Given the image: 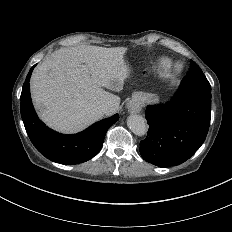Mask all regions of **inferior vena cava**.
Returning <instances> with one entry per match:
<instances>
[{
  "mask_svg": "<svg viewBox=\"0 0 232 232\" xmlns=\"http://www.w3.org/2000/svg\"><path fill=\"white\" fill-rule=\"evenodd\" d=\"M100 111L102 112V114H107L109 112H112L113 106L110 105V103H105L104 105L100 106Z\"/></svg>",
  "mask_w": 232,
  "mask_h": 232,
  "instance_id": "602c4592",
  "label": "inferior vena cava"
}]
</instances>
